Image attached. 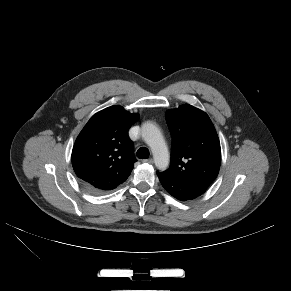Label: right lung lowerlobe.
<instances>
[{
    "mask_svg": "<svg viewBox=\"0 0 291 291\" xmlns=\"http://www.w3.org/2000/svg\"><path fill=\"white\" fill-rule=\"evenodd\" d=\"M83 184H84V186L86 187V188H88L89 190H91V191H94V192H99L100 190H97V189H95V188H93V187H91L90 185H88V184H86V183H84L83 182ZM117 187V186H116ZM115 187V188H116ZM114 189V188H113ZM109 190H111V189H109Z\"/></svg>",
    "mask_w": 291,
    "mask_h": 291,
    "instance_id": "1",
    "label": "right lung lower lobe"
}]
</instances>
